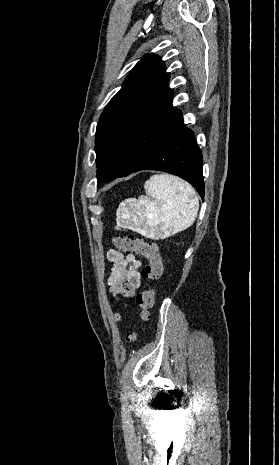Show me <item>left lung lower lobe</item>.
Returning a JSON list of instances; mask_svg holds the SVG:
<instances>
[{"mask_svg":"<svg viewBox=\"0 0 279 465\" xmlns=\"http://www.w3.org/2000/svg\"><path fill=\"white\" fill-rule=\"evenodd\" d=\"M202 154L194 133L184 127L183 118L161 143L142 159L133 172L158 170L177 175L189 182L204 197Z\"/></svg>","mask_w":279,"mask_h":465,"instance_id":"1","label":"left lung lower lobe"}]
</instances>
